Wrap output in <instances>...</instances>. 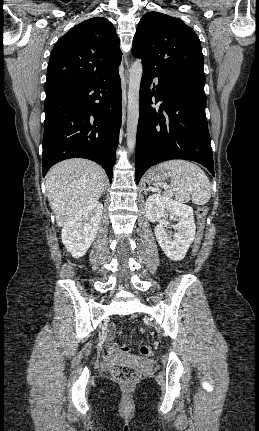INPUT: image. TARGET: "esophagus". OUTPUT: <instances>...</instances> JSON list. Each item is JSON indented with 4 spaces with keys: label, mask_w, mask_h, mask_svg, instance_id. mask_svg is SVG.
Wrapping results in <instances>:
<instances>
[{
    "label": "esophagus",
    "mask_w": 259,
    "mask_h": 431,
    "mask_svg": "<svg viewBox=\"0 0 259 431\" xmlns=\"http://www.w3.org/2000/svg\"><path fill=\"white\" fill-rule=\"evenodd\" d=\"M126 65H127V67H128V65H129V61H126Z\"/></svg>",
    "instance_id": "1"
}]
</instances>
